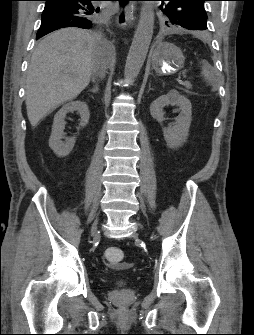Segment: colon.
Masks as SVG:
<instances>
[{"mask_svg": "<svg viewBox=\"0 0 254 335\" xmlns=\"http://www.w3.org/2000/svg\"><path fill=\"white\" fill-rule=\"evenodd\" d=\"M106 262L112 265H119L124 260V252L120 248L110 247L104 253Z\"/></svg>", "mask_w": 254, "mask_h": 335, "instance_id": "5ec220e1", "label": "colon"}]
</instances>
